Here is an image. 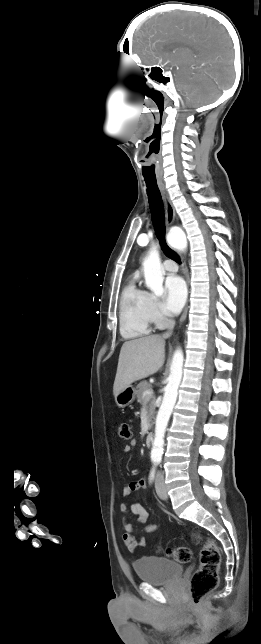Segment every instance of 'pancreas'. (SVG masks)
Returning a JSON list of instances; mask_svg holds the SVG:
<instances>
[{"mask_svg": "<svg viewBox=\"0 0 261 644\" xmlns=\"http://www.w3.org/2000/svg\"><path fill=\"white\" fill-rule=\"evenodd\" d=\"M150 389H151V384H149L146 381H142L138 384L137 391H136L137 401L140 404H144L145 402H147L149 427L152 426V419L154 418V414H155V397L151 395L149 398H145L143 397V393L146 390H150Z\"/></svg>", "mask_w": 261, "mask_h": 644, "instance_id": "1", "label": "pancreas"}]
</instances>
